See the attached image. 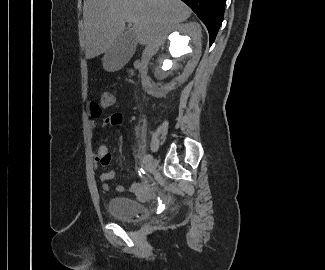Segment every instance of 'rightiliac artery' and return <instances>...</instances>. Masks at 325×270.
Listing matches in <instances>:
<instances>
[{
  "instance_id": "right-iliac-artery-1",
  "label": "right iliac artery",
  "mask_w": 325,
  "mask_h": 270,
  "mask_svg": "<svg viewBox=\"0 0 325 270\" xmlns=\"http://www.w3.org/2000/svg\"><path fill=\"white\" fill-rule=\"evenodd\" d=\"M151 157L152 156L150 154L145 155V157L143 158V162L147 163L151 159Z\"/></svg>"
}]
</instances>
